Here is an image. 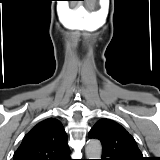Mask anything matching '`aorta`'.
Returning a JSON list of instances; mask_svg holds the SVG:
<instances>
[{
	"label": "aorta",
	"mask_w": 160,
	"mask_h": 160,
	"mask_svg": "<svg viewBox=\"0 0 160 160\" xmlns=\"http://www.w3.org/2000/svg\"><path fill=\"white\" fill-rule=\"evenodd\" d=\"M87 159H100L102 155V145L99 140H90L85 148Z\"/></svg>",
	"instance_id": "aorta-1"
}]
</instances>
